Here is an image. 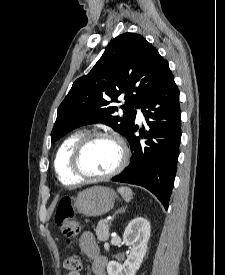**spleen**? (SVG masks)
<instances>
[{"instance_id":"spleen-1","label":"spleen","mask_w":225,"mask_h":275,"mask_svg":"<svg viewBox=\"0 0 225 275\" xmlns=\"http://www.w3.org/2000/svg\"><path fill=\"white\" fill-rule=\"evenodd\" d=\"M118 192L124 198L125 201L129 202L132 198V190L128 187H119Z\"/></svg>"}]
</instances>
